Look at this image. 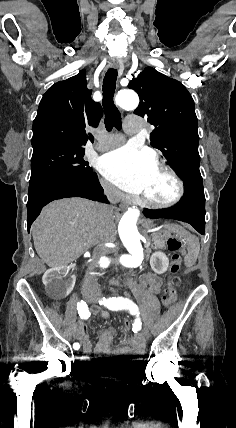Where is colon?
Wrapping results in <instances>:
<instances>
[{
    "mask_svg": "<svg viewBox=\"0 0 236 428\" xmlns=\"http://www.w3.org/2000/svg\"><path fill=\"white\" fill-rule=\"evenodd\" d=\"M167 248L169 251L173 252L174 254L172 257V266H171L172 275L169 277L166 294L163 297V305L165 307H169L171 304H173L176 301V298H177L176 287H178L181 283L180 277L177 275V273L180 270V266L182 262L181 256L179 255V253L183 249V243L178 237L170 236L167 239ZM55 306L57 307V305ZM125 327L130 328L131 322L126 320Z\"/></svg>",
    "mask_w": 236,
    "mask_h": 428,
    "instance_id": "5ec220e1",
    "label": "colon"
}]
</instances>
